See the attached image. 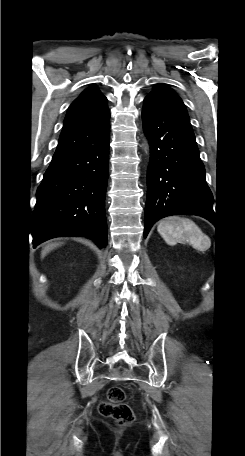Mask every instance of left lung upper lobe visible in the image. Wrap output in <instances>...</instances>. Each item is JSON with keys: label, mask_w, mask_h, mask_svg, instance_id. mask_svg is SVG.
Here are the masks:
<instances>
[{"label": "left lung upper lobe", "mask_w": 245, "mask_h": 456, "mask_svg": "<svg viewBox=\"0 0 245 456\" xmlns=\"http://www.w3.org/2000/svg\"><path fill=\"white\" fill-rule=\"evenodd\" d=\"M146 98L158 101L163 105L171 106L187 113L181 98L164 84L156 85L153 91L147 95Z\"/></svg>", "instance_id": "left-lung-upper-lobe-1"}]
</instances>
